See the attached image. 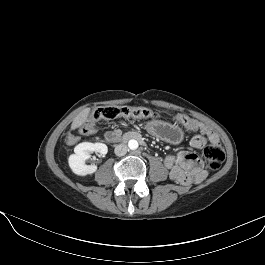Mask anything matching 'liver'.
<instances>
[{
  "label": "liver",
  "instance_id": "1",
  "mask_svg": "<svg viewBox=\"0 0 265 265\" xmlns=\"http://www.w3.org/2000/svg\"><path fill=\"white\" fill-rule=\"evenodd\" d=\"M90 114V108H85L82 110L74 119L71 124V130H75L80 128L88 119Z\"/></svg>",
  "mask_w": 265,
  "mask_h": 265
}]
</instances>
